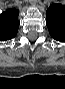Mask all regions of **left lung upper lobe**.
<instances>
[{
  "label": "left lung upper lobe",
  "instance_id": "obj_1",
  "mask_svg": "<svg viewBox=\"0 0 65 89\" xmlns=\"http://www.w3.org/2000/svg\"><path fill=\"white\" fill-rule=\"evenodd\" d=\"M46 25L50 35L57 41L65 42V6L50 5L46 11Z\"/></svg>",
  "mask_w": 65,
  "mask_h": 89
}]
</instances>
